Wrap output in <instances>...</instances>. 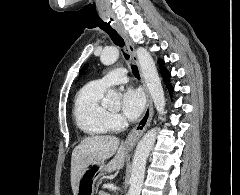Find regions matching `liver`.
<instances>
[{"label":"liver","mask_w":240,"mask_h":195,"mask_svg":"<svg viewBox=\"0 0 240 195\" xmlns=\"http://www.w3.org/2000/svg\"><path fill=\"white\" fill-rule=\"evenodd\" d=\"M127 151L126 145L120 143V139L115 135H91L82 139L79 145L74 147L71 157V185L74 195H77L78 183L87 167L105 161L116 153L115 157L105 165V171L122 169Z\"/></svg>","instance_id":"obj_1"}]
</instances>
